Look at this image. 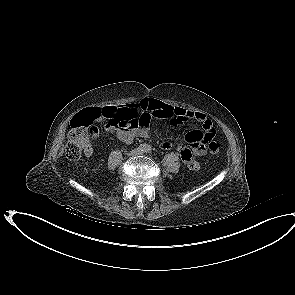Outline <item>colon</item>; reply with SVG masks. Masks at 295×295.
Returning a JSON list of instances; mask_svg holds the SVG:
<instances>
[{
	"mask_svg": "<svg viewBox=\"0 0 295 295\" xmlns=\"http://www.w3.org/2000/svg\"><path fill=\"white\" fill-rule=\"evenodd\" d=\"M101 117L112 120L113 118V109L111 107L100 108L98 113ZM93 118L90 116L89 112L76 116L70 126V130L67 135V143L65 148L66 156L71 161H78L82 153L90 145V139L96 133V126L93 124ZM139 125L137 120L126 119L119 123V126L135 129ZM211 134L213 131L210 132ZM209 153L212 156H218L220 153V146L217 142L210 140L209 141Z\"/></svg>",
	"mask_w": 295,
	"mask_h": 295,
	"instance_id": "5ec220e1",
	"label": "colon"
}]
</instances>
